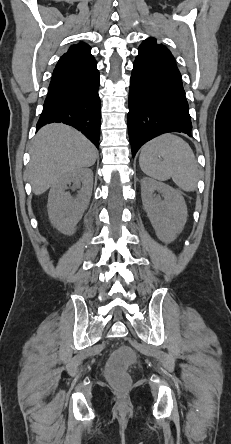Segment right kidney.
I'll return each instance as SVG.
<instances>
[{
	"mask_svg": "<svg viewBox=\"0 0 231 444\" xmlns=\"http://www.w3.org/2000/svg\"><path fill=\"white\" fill-rule=\"evenodd\" d=\"M71 183L80 189L76 198L65 192L67 185ZM92 187L93 172L87 168L65 174L51 187L47 205L49 219L63 234L74 233L77 223L89 205Z\"/></svg>",
	"mask_w": 231,
	"mask_h": 444,
	"instance_id": "right-kidney-1",
	"label": "right kidney"
}]
</instances>
